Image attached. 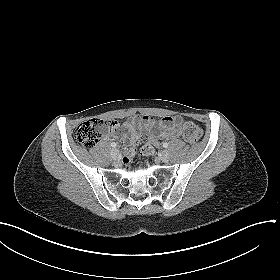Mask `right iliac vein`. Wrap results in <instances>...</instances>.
<instances>
[{
  "mask_svg": "<svg viewBox=\"0 0 280 280\" xmlns=\"http://www.w3.org/2000/svg\"><path fill=\"white\" fill-rule=\"evenodd\" d=\"M111 156L114 160H117L119 157V150L114 148L111 150Z\"/></svg>",
  "mask_w": 280,
  "mask_h": 280,
  "instance_id": "right-iliac-vein-1",
  "label": "right iliac vein"
}]
</instances>
